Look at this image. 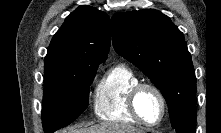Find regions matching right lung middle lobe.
Wrapping results in <instances>:
<instances>
[{"label":"right lung middle lobe","mask_w":221,"mask_h":133,"mask_svg":"<svg viewBox=\"0 0 221 133\" xmlns=\"http://www.w3.org/2000/svg\"><path fill=\"white\" fill-rule=\"evenodd\" d=\"M99 64L44 72L42 124L45 133L69 125L87 108L89 86Z\"/></svg>","instance_id":"1"}]
</instances>
